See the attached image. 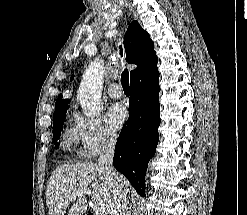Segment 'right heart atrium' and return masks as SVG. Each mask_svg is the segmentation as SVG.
<instances>
[{"instance_id":"1","label":"right heart atrium","mask_w":247,"mask_h":215,"mask_svg":"<svg viewBox=\"0 0 247 215\" xmlns=\"http://www.w3.org/2000/svg\"><path fill=\"white\" fill-rule=\"evenodd\" d=\"M73 134L83 156L91 158L115 146L117 135L100 118L75 117Z\"/></svg>"}]
</instances>
